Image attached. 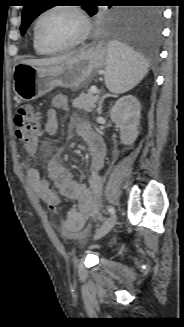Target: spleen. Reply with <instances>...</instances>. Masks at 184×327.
Returning <instances> with one entry per match:
<instances>
[{
	"instance_id": "3e777b00",
	"label": "spleen",
	"mask_w": 184,
	"mask_h": 327,
	"mask_svg": "<svg viewBox=\"0 0 184 327\" xmlns=\"http://www.w3.org/2000/svg\"><path fill=\"white\" fill-rule=\"evenodd\" d=\"M105 84L115 94L125 93L134 88L148 73L145 59L118 41L107 46Z\"/></svg>"
}]
</instances>
